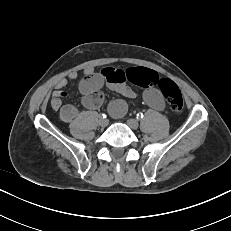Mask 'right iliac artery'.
Returning a JSON list of instances; mask_svg holds the SVG:
<instances>
[{
    "label": "right iliac artery",
    "instance_id": "82829eb1",
    "mask_svg": "<svg viewBox=\"0 0 231 231\" xmlns=\"http://www.w3.org/2000/svg\"><path fill=\"white\" fill-rule=\"evenodd\" d=\"M101 117H102V118H106V115H105V114H101Z\"/></svg>",
    "mask_w": 231,
    "mask_h": 231
}]
</instances>
